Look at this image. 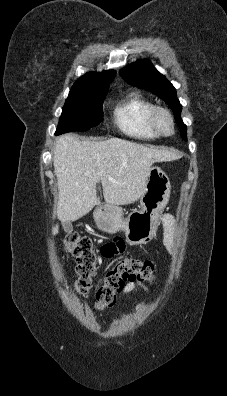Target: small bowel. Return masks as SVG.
<instances>
[{
  "instance_id": "small-bowel-1",
  "label": "small bowel",
  "mask_w": 227,
  "mask_h": 396,
  "mask_svg": "<svg viewBox=\"0 0 227 396\" xmlns=\"http://www.w3.org/2000/svg\"><path fill=\"white\" fill-rule=\"evenodd\" d=\"M163 244L169 252H173L175 248L174 238H173V228H174V219L171 215L163 216ZM124 251V242L121 239H115L108 243L102 245L100 252L104 257H113L119 253ZM138 287H141L135 283L127 284L124 294H129L136 290Z\"/></svg>"
}]
</instances>
